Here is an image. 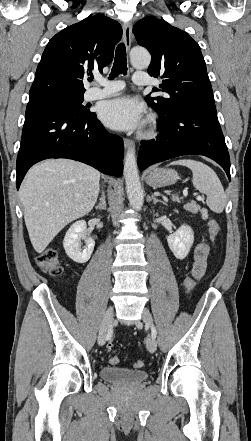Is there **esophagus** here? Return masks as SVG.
Masks as SVG:
<instances>
[{
    "instance_id": "esophagus-1",
    "label": "esophagus",
    "mask_w": 251,
    "mask_h": 441,
    "mask_svg": "<svg viewBox=\"0 0 251 441\" xmlns=\"http://www.w3.org/2000/svg\"><path fill=\"white\" fill-rule=\"evenodd\" d=\"M123 40L126 46V49L129 50L132 43V25L131 23H125L123 25ZM124 146L127 149H131L134 147V142L128 138H124L123 140Z\"/></svg>"
}]
</instances>
